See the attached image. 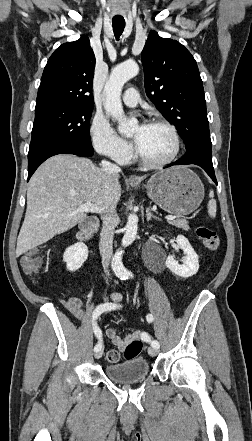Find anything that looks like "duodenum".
<instances>
[{
    "instance_id": "410a0bca",
    "label": "duodenum",
    "mask_w": 252,
    "mask_h": 441,
    "mask_svg": "<svg viewBox=\"0 0 252 441\" xmlns=\"http://www.w3.org/2000/svg\"><path fill=\"white\" fill-rule=\"evenodd\" d=\"M100 222L97 218L91 217L87 219L80 227L77 233V240L80 243H86L91 235L99 228Z\"/></svg>"
}]
</instances>
